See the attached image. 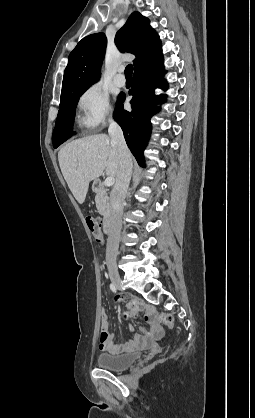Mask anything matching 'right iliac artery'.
Listing matches in <instances>:
<instances>
[{
    "label": "right iliac artery",
    "mask_w": 255,
    "mask_h": 418,
    "mask_svg": "<svg viewBox=\"0 0 255 418\" xmlns=\"http://www.w3.org/2000/svg\"><path fill=\"white\" fill-rule=\"evenodd\" d=\"M110 289L112 290V292H116L117 291V288H116V286L113 283L110 284Z\"/></svg>",
    "instance_id": "right-iliac-artery-1"
}]
</instances>
